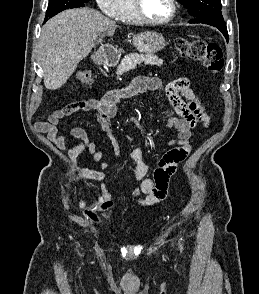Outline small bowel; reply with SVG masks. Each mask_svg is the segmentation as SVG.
<instances>
[{"mask_svg": "<svg viewBox=\"0 0 259 294\" xmlns=\"http://www.w3.org/2000/svg\"><path fill=\"white\" fill-rule=\"evenodd\" d=\"M152 91L165 93L171 108L166 110L169 126L176 132V138L168 145H178L177 148L166 152L158 162L153 179L148 178L150 167L143 158L141 150L133 148L130 156L135 163L134 177L141 181L138 188L133 191L134 196L140 193L139 199L142 206H152L163 200L167 194L170 177L176 171L179 163L185 160L190 152L188 143L191 130L198 124L204 128L210 125V116L200 99L196 96L188 79H178L163 86L160 79L155 77H137L131 84L124 88L107 92L101 99H88L72 102L65 107L51 113L47 118L39 117L35 122L38 132L46 134L48 139L58 148L63 150L70 140L76 144L69 152L70 161L74 164L76 157L83 151H87L93 161L100 163L101 170L87 168L77 170L78 176L93 181L101 182L100 195L93 204L92 209H86L87 203L82 199L78 207L84 210V215L92 222L106 219V211L114 207V201L104 183L105 171L110 163L101 162L103 151L97 148L96 143L88 136L87 132L79 127L66 133L59 132V125L65 118L75 116L81 112L93 111L102 131L108 138L113 137L111 120L118 114L120 103L137 93Z\"/></svg>", "mask_w": 259, "mask_h": 294, "instance_id": "obj_1", "label": "small bowel"}]
</instances>
